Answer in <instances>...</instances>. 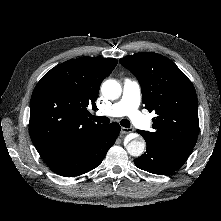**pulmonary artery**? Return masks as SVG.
<instances>
[{
  "instance_id": "1",
  "label": "pulmonary artery",
  "mask_w": 221,
  "mask_h": 221,
  "mask_svg": "<svg viewBox=\"0 0 221 221\" xmlns=\"http://www.w3.org/2000/svg\"><path fill=\"white\" fill-rule=\"evenodd\" d=\"M140 101V84L136 80L126 78L123 81L121 99L109 108L99 111L97 114L108 117L128 116L135 126L141 129H148L150 121L139 111Z\"/></svg>"
}]
</instances>
